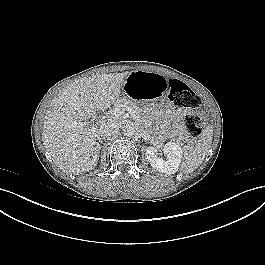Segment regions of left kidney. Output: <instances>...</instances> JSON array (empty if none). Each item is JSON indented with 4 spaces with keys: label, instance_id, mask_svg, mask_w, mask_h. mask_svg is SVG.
<instances>
[{
    "label": "left kidney",
    "instance_id": "1",
    "mask_svg": "<svg viewBox=\"0 0 265 265\" xmlns=\"http://www.w3.org/2000/svg\"><path fill=\"white\" fill-rule=\"evenodd\" d=\"M163 152L166 160L158 156V150L155 147L149 146L146 149V157L150 165L162 173L170 175L176 173L182 159V148L175 142H168L164 145Z\"/></svg>",
    "mask_w": 265,
    "mask_h": 265
}]
</instances>
